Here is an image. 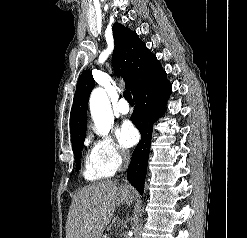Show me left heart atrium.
I'll use <instances>...</instances> for the list:
<instances>
[{
    "label": "left heart atrium",
    "mask_w": 247,
    "mask_h": 238,
    "mask_svg": "<svg viewBox=\"0 0 247 238\" xmlns=\"http://www.w3.org/2000/svg\"><path fill=\"white\" fill-rule=\"evenodd\" d=\"M119 142L124 147H131L138 141V132L132 123L126 121L117 131Z\"/></svg>",
    "instance_id": "1"
}]
</instances>
